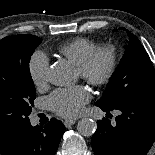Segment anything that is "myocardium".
Wrapping results in <instances>:
<instances>
[{
    "label": "myocardium",
    "mask_w": 155,
    "mask_h": 155,
    "mask_svg": "<svg viewBox=\"0 0 155 155\" xmlns=\"http://www.w3.org/2000/svg\"><path fill=\"white\" fill-rule=\"evenodd\" d=\"M118 51L113 45L99 46L80 65L78 72L82 79L94 86L107 84L118 67Z\"/></svg>",
    "instance_id": "f54148a6"
}]
</instances>
